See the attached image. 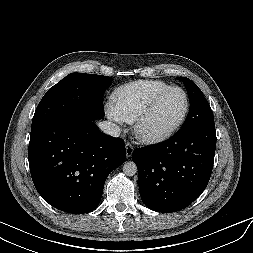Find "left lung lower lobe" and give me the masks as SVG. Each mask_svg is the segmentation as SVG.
Wrapping results in <instances>:
<instances>
[{"instance_id": "obj_1", "label": "left lung lower lobe", "mask_w": 253, "mask_h": 253, "mask_svg": "<svg viewBox=\"0 0 253 253\" xmlns=\"http://www.w3.org/2000/svg\"><path fill=\"white\" fill-rule=\"evenodd\" d=\"M215 148V124H209L136 149L132 159L138 167L143 203L157 212H176L189 206L209 182Z\"/></svg>"}]
</instances>
